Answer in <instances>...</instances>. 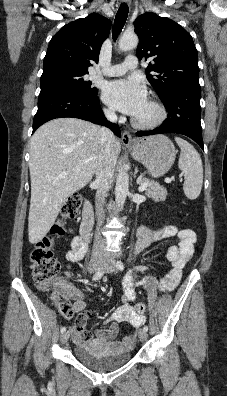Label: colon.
<instances>
[{
    "label": "colon",
    "mask_w": 227,
    "mask_h": 396,
    "mask_svg": "<svg viewBox=\"0 0 227 396\" xmlns=\"http://www.w3.org/2000/svg\"><path fill=\"white\" fill-rule=\"evenodd\" d=\"M80 206V195L74 194L69 196L62 206L61 218L52 227L50 235L38 241L30 253L35 285L41 290H52V299L61 314L65 317H71L73 315V309L59 288L57 275L60 270V264L54 256L53 246L56 237H63L69 232L66 226V220H74ZM134 307L138 313H144L146 310V306L143 303H135Z\"/></svg>",
    "instance_id": "1"
}]
</instances>
